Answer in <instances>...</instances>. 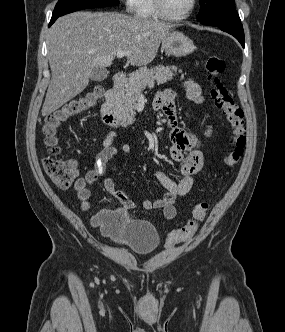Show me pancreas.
<instances>
[{
	"mask_svg": "<svg viewBox=\"0 0 285 332\" xmlns=\"http://www.w3.org/2000/svg\"><path fill=\"white\" fill-rule=\"evenodd\" d=\"M176 71L175 66L158 65L156 67H142L138 71L131 73L125 88L119 95L118 111L122 120L130 123L135 116L136 103L143 89L153 88L155 82L164 84L171 80Z\"/></svg>",
	"mask_w": 285,
	"mask_h": 332,
	"instance_id": "1",
	"label": "pancreas"
}]
</instances>
